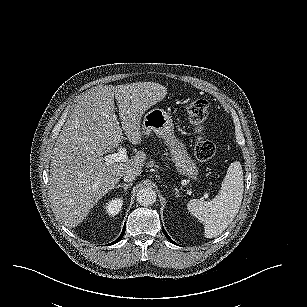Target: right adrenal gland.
Returning <instances> with one entry per match:
<instances>
[{
    "instance_id": "1",
    "label": "right adrenal gland",
    "mask_w": 307,
    "mask_h": 307,
    "mask_svg": "<svg viewBox=\"0 0 307 307\" xmlns=\"http://www.w3.org/2000/svg\"><path fill=\"white\" fill-rule=\"evenodd\" d=\"M131 186H132V183H129V184L120 183V184L116 185V187H123L124 190H127V189L130 188Z\"/></svg>"
}]
</instances>
